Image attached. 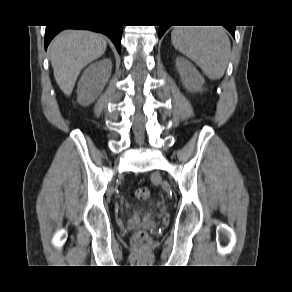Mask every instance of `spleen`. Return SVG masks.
I'll use <instances>...</instances> for the list:
<instances>
[{"label": "spleen", "instance_id": "obj_1", "mask_svg": "<svg viewBox=\"0 0 292 292\" xmlns=\"http://www.w3.org/2000/svg\"><path fill=\"white\" fill-rule=\"evenodd\" d=\"M174 48L193 61L211 80L223 77L231 53L222 27L177 26L171 32Z\"/></svg>", "mask_w": 292, "mask_h": 292}]
</instances>
